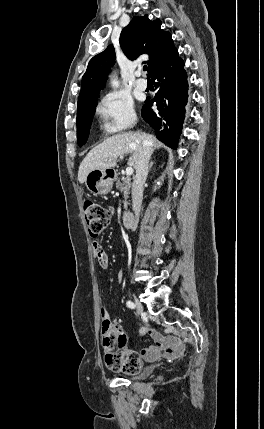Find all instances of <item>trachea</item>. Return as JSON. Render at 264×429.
<instances>
[{
	"label": "trachea",
	"mask_w": 264,
	"mask_h": 429,
	"mask_svg": "<svg viewBox=\"0 0 264 429\" xmlns=\"http://www.w3.org/2000/svg\"><path fill=\"white\" fill-rule=\"evenodd\" d=\"M143 70H144V71H146V70H147V66H146V65L143 67Z\"/></svg>",
	"instance_id": "trachea-1"
}]
</instances>
